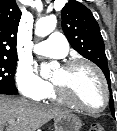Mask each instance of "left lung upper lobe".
Returning <instances> with one entry per match:
<instances>
[{
    "label": "left lung upper lobe",
    "mask_w": 117,
    "mask_h": 131,
    "mask_svg": "<svg viewBox=\"0 0 117 131\" xmlns=\"http://www.w3.org/2000/svg\"><path fill=\"white\" fill-rule=\"evenodd\" d=\"M62 29L71 46L84 58L98 65L105 74L111 92V80L100 28L91 11L80 2L70 0L62 9ZM113 117L114 101L110 98Z\"/></svg>",
    "instance_id": "left-lung-upper-lobe-1"
}]
</instances>
